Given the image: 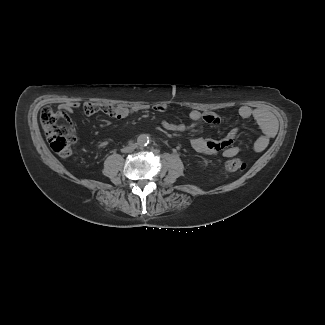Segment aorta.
Instances as JSON below:
<instances>
[{
    "label": "aorta",
    "instance_id": "obj_1",
    "mask_svg": "<svg viewBox=\"0 0 325 325\" xmlns=\"http://www.w3.org/2000/svg\"><path fill=\"white\" fill-rule=\"evenodd\" d=\"M150 138L147 134H141L137 138V145L139 147H145L149 144Z\"/></svg>",
    "mask_w": 325,
    "mask_h": 325
}]
</instances>
